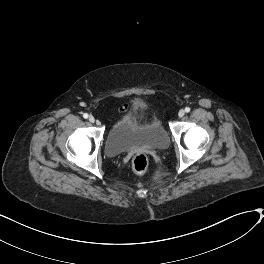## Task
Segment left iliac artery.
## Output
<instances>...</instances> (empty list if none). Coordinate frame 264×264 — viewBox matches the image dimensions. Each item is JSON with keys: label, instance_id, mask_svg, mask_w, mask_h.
I'll return each mask as SVG.
<instances>
[{"label": "left iliac artery", "instance_id": "1", "mask_svg": "<svg viewBox=\"0 0 264 264\" xmlns=\"http://www.w3.org/2000/svg\"><path fill=\"white\" fill-rule=\"evenodd\" d=\"M185 112H187V113L190 112V108L189 107H186L185 108Z\"/></svg>", "mask_w": 264, "mask_h": 264}]
</instances>
